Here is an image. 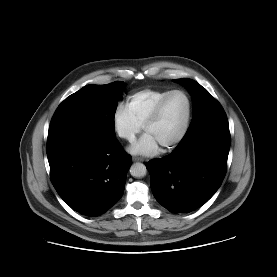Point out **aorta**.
<instances>
[{
    "mask_svg": "<svg viewBox=\"0 0 277 277\" xmlns=\"http://www.w3.org/2000/svg\"><path fill=\"white\" fill-rule=\"evenodd\" d=\"M146 173L147 169L142 163H134L130 168V174L136 178L144 177Z\"/></svg>",
    "mask_w": 277,
    "mask_h": 277,
    "instance_id": "obj_1",
    "label": "aorta"
}]
</instances>
